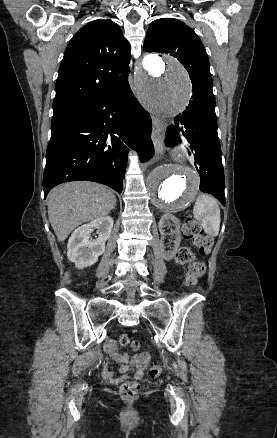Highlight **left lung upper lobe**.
Returning a JSON list of instances; mask_svg holds the SVG:
<instances>
[{"instance_id": "left-lung-upper-lobe-1", "label": "left lung upper lobe", "mask_w": 277, "mask_h": 438, "mask_svg": "<svg viewBox=\"0 0 277 438\" xmlns=\"http://www.w3.org/2000/svg\"><path fill=\"white\" fill-rule=\"evenodd\" d=\"M143 49L170 54L184 65L192 82L191 100L214 99L208 55L200 38L184 22L174 18L154 20L147 30Z\"/></svg>"}]
</instances>
